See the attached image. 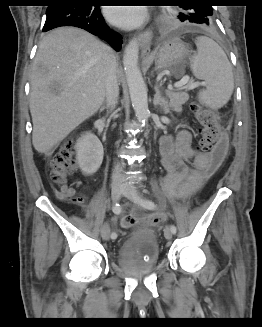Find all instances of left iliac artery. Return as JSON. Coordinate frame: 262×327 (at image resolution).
<instances>
[{"label": "left iliac artery", "instance_id": "left-iliac-artery-1", "mask_svg": "<svg viewBox=\"0 0 262 327\" xmlns=\"http://www.w3.org/2000/svg\"><path fill=\"white\" fill-rule=\"evenodd\" d=\"M138 202H139L143 207H145V208H147V209H154V208H156L155 203H154L153 201H151V200H148V199H141V198H139V199H138ZM170 230H171V232H172L173 234H175L176 231H177V229H176V227H175L174 225H171Z\"/></svg>", "mask_w": 262, "mask_h": 327}]
</instances>
